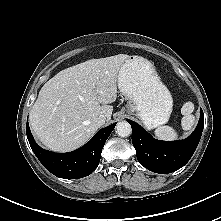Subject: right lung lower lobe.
I'll return each mask as SVG.
<instances>
[{
	"label": "right lung lower lobe",
	"mask_w": 221,
	"mask_h": 221,
	"mask_svg": "<svg viewBox=\"0 0 221 221\" xmlns=\"http://www.w3.org/2000/svg\"><path fill=\"white\" fill-rule=\"evenodd\" d=\"M115 125L101 129L87 144L69 153L42 149L33 139L28 123L26 131L34 154L48 171L59 178L78 179L90 175L97 168L103 146Z\"/></svg>",
	"instance_id": "obj_1"
}]
</instances>
